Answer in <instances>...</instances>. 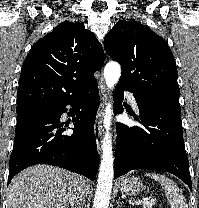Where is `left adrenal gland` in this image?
Returning a JSON list of instances; mask_svg holds the SVG:
<instances>
[{"mask_svg": "<svg viewBox=\"0 0 199 208\" xmlns=\"http://www.w3.org/2000/svg\"><path fill=\"white\" fill-rule=\"evenodd\" d=\"M121 204H122V202L120 201V199L117 200V205H118V207H119Z\"/></svg>", "mask_w": 199, "mask_h": 208, "instance_id": "left-adrenal-gland-1", "label": "left adrenal gland"}]
</instances>
